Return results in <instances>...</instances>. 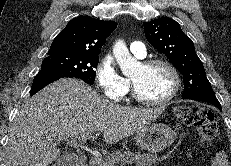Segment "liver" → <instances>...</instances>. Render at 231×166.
<instances>
[{
	"mask_svg": "<svg viewBox=\"0 0 231 166\" xmlns=\"http://www.w3.org/2000/svg\"><path fill=\"white\" fill-rule=\"evenodd\" d=\"M164 107L133 108L110 102L77 79L61 78L28 99L17 114L6 148V166H49L58 140L103 133L116 143L148 126Z\"/></svg>",
	"mask_w": 231,
	"mask_h": 166,
	"instance_id": "1",
	"label": "liver"
}]
</instances>
